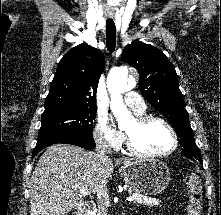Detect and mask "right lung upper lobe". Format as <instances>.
Returning a JSON list of instances; mask_svg holds the SVG:
<instances>
[{
    "label": "right lung upper lobe",
    "instance_id": "cb5924a9",
    "mask_svg": "<svg viewBox=\"0 0 221 215\" xmlns=\"http://www.w3.org/2000/svg\"><path fill=\"white\" fill-rule=\"evenodd\" d=\"M103 53L87 44L72 48L59 62L43 114L96 108V90L104 70Z\"/></svg>",
    "mask_w": 221,
    "mask_h": 215
}]
</instances>
